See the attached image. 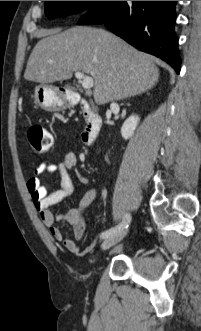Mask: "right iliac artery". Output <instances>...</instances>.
Wrapping results in <instances>:
<instances>
[{"mask_svg": "<svg viewBox=\"0 0 201 331\" xmlns=\"http://www.w3.org/2000/svg\"><path fill=\"white\" fill-rule=\"evenodd\" d=\"M130 221H131V216H130L129 213H126L125 216H124V218H123V220H122V222L119 225H117V226H115V227H113V228H111L109 230L104 231L101 234V238L102 239H105V238H107V237H109L111 235L116 234L120 230H123V229L127 228L129 226Z\"/></svg>", "mask_w": 201, "mask_h": 331, "instance_id": "right-iliac-artery-1", "label": "right iliac artery"}]
</instances>
